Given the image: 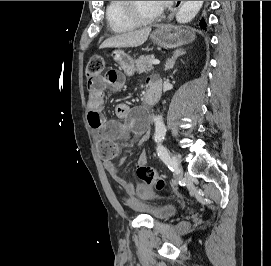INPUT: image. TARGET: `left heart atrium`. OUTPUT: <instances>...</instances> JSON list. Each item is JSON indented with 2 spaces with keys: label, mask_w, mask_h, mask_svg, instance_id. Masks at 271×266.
<instances>
[{
  "label": "left heart atrium",
  "mask_w": 271,
  "mask_h": 266,
  "mask_svg": "<svg viewBox=\"0 0 271 266\" xmlns=\"http://www.w3.org/2000/svg\"><path fill=\"white\" fill-rule=\"evenodd\" d=\"M158 6L162 9L165 6L169 5L172 1H156Z\"/></svg>",
  "instance_id": "1"
}]
</instances>
